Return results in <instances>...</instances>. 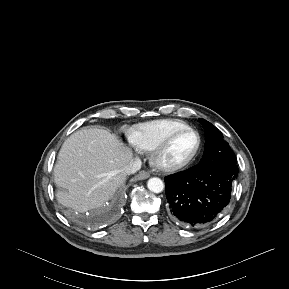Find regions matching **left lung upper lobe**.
I'll use <instances>...</instances> for the list:
<instances>
[{"label":"left lung upper lobe","instance_id":"5c2ea615","mask_svg":"<svg viewBox=\"0 0 289 289\" xmlns=\"http://www.w3.org/2000/svg\"><path fill=\"white\" fill-rule=\"evenodd\" d=\"M205 130V150L198 166L212 167L236 164V156L230 150V146L223 140L222 133L210 122L199 119Z\"/></svg>","mask_w":289,"mask_h":289}]
</instances>
